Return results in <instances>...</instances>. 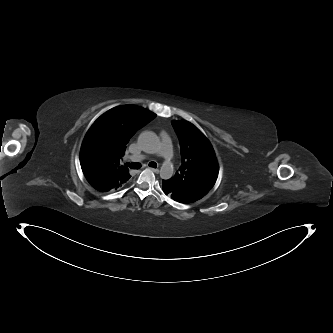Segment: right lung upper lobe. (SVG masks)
Here are the masks:
<instances>
[{
	"instance_id": "right-lung-upper-lobe-1",
	"label": "right lung upper lobe",
	"mask_w": 333,
	"mask_h": 333,
	"mask_svg": "<svg viewBox=\"0 0 333 333\" xmlns=\"http://www.w3.org/2000/svg\"><path fill=\"white\" fill-rule=\"evenodd\" d=\"M155 117L144 108L123 105L105 112L90 127L84 139L94 143L95 151L87 163L104 191H114L129 180V170L120 159L130 138Z\"/></svg>"
}]
</instances>
